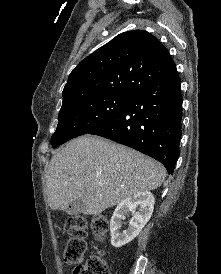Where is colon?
I'll return each instance as SVG.
<instances>
[{
  "mask_svg": "<svg viewBox=\"0 0 221 274\" xmlns=\"http://www.w3.org/2000/svg\"><path fill=\"white\" fill-rule=\"evenodd\" d=\"M89 220L84 215H75L68 221L69 239L64 250L67 264L75 265L73 274H110L106 259L101 253L90 256L83 262L86 251L85 237ZM91 229L97 240H104L109 231V220L104 215L95 216L90 221Z\"/></svg>",
  "mask_w": 221,
  "mask_h": 274,
  "instance_id": "obj_1",
  "label": "colon"
}]
</instances>
